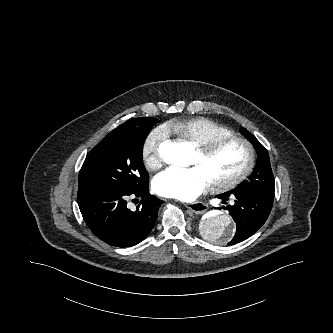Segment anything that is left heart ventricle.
<instances>
[{
    "instance_id": "obj_1",
    "label": "left heart ventricle",
    "mask_w": 333,
    "mask_h": 333,
    "mask_svg": "<svg viewBox=\"0 0 333 333\" xmlns=\"http://www.w3.org/2000/svg\"><path fill=\"white\" fill-rule=\"evenodd\" d=\"M246 162V151L238 143H229L210 156L196 152L192 164L200 166L211 181L228 178L239 172Z\"/></svg>"
}]
</instances>
